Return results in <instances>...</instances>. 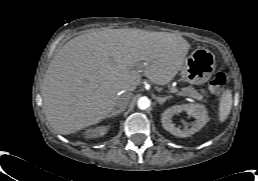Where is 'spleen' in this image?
<instances>
[{"instance_id": "3e777b00", "label": "spleen", "mask_w": 258, "mask_h": 181, "mask_svg": "<svg viewBox=\"0 0 258 181\" xmlns=\"http://www.w3.org/2000/svg\"><path fill=\"white\" fill-rule=\"evenodd\" d=\"M232 93L230 89H226L219 101L218 120L220 123L226 121L232 107Z\"/></svg>"}]
</instances>
